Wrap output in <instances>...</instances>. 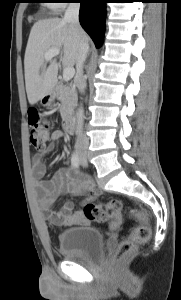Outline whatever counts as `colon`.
I'll return each instance as SVG.
<instances>
[{
  "label": "colon",
  "instance_id": "1",
  "mask_svg": "<svg viewBox=\"0 0 181 300\" xmlns=\"http://www.w3.org/2000/svg\"><path fill=\"white\" fill-rule=\"evenodd\" d=\"M31 144L36 148H42L49 139V123L44 120L37 110H31L28 114ZM122 204L117 199L109 200L101 204H87L83 209L84 216L94 222H110V226L115 228L121 222ZM129 216L138 222L137 227L132 231L129 238L123 240L115 254L114 261H125L135 248L146 243L151 236V228L148 224V214L144 209L132 208Z\"/></svg>",
  "mask_w": 181,
  "mask_h": 300
}]
</instances>
